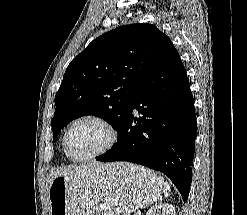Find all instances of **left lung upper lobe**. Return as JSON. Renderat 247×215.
Returning <instances> with one entry per match:
<instances>
[{"label": "left lung upper lobe", "instance_id": "left-lung-upper-lobe-1", "mask_svg": "<svg viewBox=\"0 0 247 215\" xmlns=\"http://www.w3.org/2000/svg\"><path fill=\"white\" fill-rule=\"evenodd\" d=\"M171 41L156 26H120L95 40L69 64L55 96L53 140L70 121L85 114L104 118L116 130L141 82Z\"/></svg>", "mask_w": 247, "mask_h": 215}]
</instances>
